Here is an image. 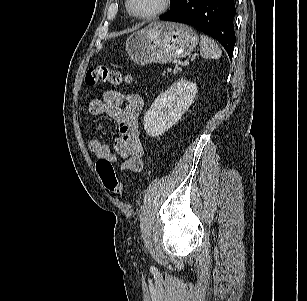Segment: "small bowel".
Masks as SVG:
<instances>
[{
  "instance_id": "obj_1",
  "label": "small bowel",
  "mask_w": 307,
  "mask_h": 301,
  "mask_svg": "<svg viewBox=\"0 0 307 301\" xmlns=\"http://www.w3.org/2000/svg\"><path fill=\"white\" fill-rule=\"evenodd\" d=\"M143 109V99L138 94L125 95L119 91H108L103 99L90 101L89 112L92 116L108 115L113 118L119 129V134L113 143L114 152L101 139L92 138L90 151L98 158L117 161V156L123 158L121 171L141 172L143 170V147L139 139L138 119ZM103 128L97 124L96 132Z\"/></svg>"
}]
</instances>
